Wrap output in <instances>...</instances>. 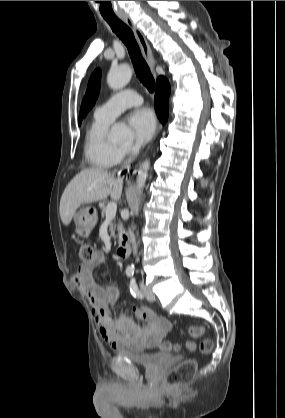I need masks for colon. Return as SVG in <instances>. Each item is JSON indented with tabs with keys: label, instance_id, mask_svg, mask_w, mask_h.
Returning <instances> with one entry per match:
<instances>
[{
	"label": "colon",
	"instance_id": "1",
	"mask_svg": "<svg viewBox=\"0 0 285 418\" xmlns=\"http://www.w3.org/2000/svg\"><path fill=\"white\" fill-rule=\"evenodd\" d=\"M97 252L91 245H83L79 250V258L83 263H93L97 258ZM188 333L193 338H199L204 334L203 326H192L188 328ZM214 346L211 337H204L200 341L199 349L203 354L209 353ZM163 350L178 351L181 347L179 344L165 342L161 345ZM197 370V361L195 359H187L176 365L166 376L164 385L168 388L179 387L188 384L195 375Z\"/></svg>",
	"mask_w": 285,
	"mask_h": 418
}]
</instances>
